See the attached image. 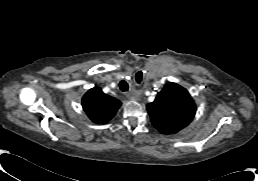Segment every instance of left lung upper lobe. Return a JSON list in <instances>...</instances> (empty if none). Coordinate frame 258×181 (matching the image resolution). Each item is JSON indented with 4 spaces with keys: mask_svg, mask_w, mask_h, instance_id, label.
<instances>
[{
    "mask_svg": "<svg viewBox=\"0 0 258 181\" xmlns=\"http://www.w3.org/2000/svg\"><path fill=\"white\" fill-rule=\"evenodd\" d=\"M153 126L162 134H174L193 119L196 106L186 89L167 83L154 102L147 105Z\"/></svg>",
    "mask_w": 258,
    "mask_h": 181,
    "instance_id": "1",
    "label": "left lung upper lobe"
}]
</instances>
